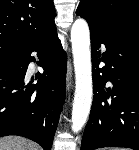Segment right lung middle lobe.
Wrapping results in <instances>:
<instances>
[{
	"label": "right lung middle lobe",
	"mask_w": 139,
	"mask_h": 150,
	"mask_svg": "<svg viewBox=\"0 0 139 150\" xmlns=\"http://www.w3.org/2000/svg\"><path fill=\"white\" fill-rule=\"evenodd\" d=\"M17 50L18 49L8 45H0V56L15 53Z\"/></svg>",
	"instance_id": "dd1d6c3e"
}]
</instances>
